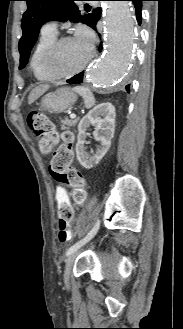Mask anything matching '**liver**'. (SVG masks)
I'll list each match as a JSON object with an SVG mask.
<instances>
[{
  "label": "liver",
  "mask_w": 183,
  "mask_h": 329,
  "mask_svg": "<svg viewBox=\"0 0 183 329\" xmlns=\"http://www.w3.org/2000/svg\"><path fill=\"white\" fill-rule=\"evenodd\" d=\"M49 89L48 84H43L35 87L29 94L28 104H32L36 101L40 96H42Z\"/></svg>",
  "instance_id": "liver-1"
}]
</instances>
